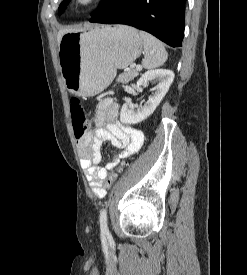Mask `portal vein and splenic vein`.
Masks as SVG:
<instances>
[{"label":"portal vein and splenic vein","mask_w":247,"mask_h":275,"mask_svg":"<svg viewBox=\"0 0 247 275\" xmlns=\"http://www.w3.org/2000/svg\"><path fill=\"white\" fill-rule=\"evenodd\" d=\"M142 67L141 66H136V71H141Z\"/></svg>","instance_id":"portal-vein-and-splenic-vein-1"}]
</instances>
